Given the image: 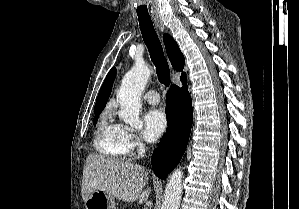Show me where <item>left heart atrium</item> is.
I'll list each match as a JSON object with an SVG mask.
<instances>
[{
	"mask_svg": "<svg viewBox=\"0 0 299 209\" xmlns=\"http://www.w3.org/2000/svg\"><path fill=\"white\" fill-rule=\"evenodd\" d=\"M168 125L167 117L163 110L152 109L144 116V138L148 142L157 141L165 132Z\"/></svg>",
	"mask_w": 299,
	"mask_h": 209,
	"instance_id": "1",
	"label": "left heart atrium"
}]
</instances>
